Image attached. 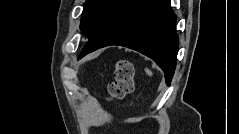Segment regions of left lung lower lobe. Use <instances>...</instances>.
<instances>
[{"label":"left lung lower lobe","mask_w":239,"mask_h":134,"mask_svg":"<svg viewBox=\"0 0 239 134\" xmlns=\"http://www.w3.org/2000/svg\"><path fill=\"white\" fill-rule=\"evenodd\" d=\"M175 23L169 0H124L107 24L89 38L78 59L101 47L124 46L153 59L170 84L178 50Z\"/></svg>","instance_id":"left-lung-lower-lobe-1"}]
</instances>
